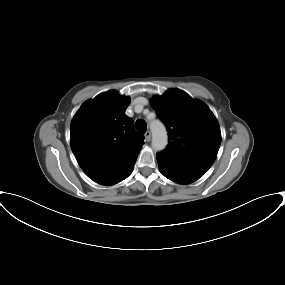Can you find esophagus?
<instances>
[{"instance_id":"esophagus-1","label":"esophagus","mask_w":285,"mask_h":285,"mask_svg":"<svg viewBox=\"0 0 285 285\" xmlns=\"http://www.w3.org/2000/svg\"><path fill=\"white\" fill-rule=\"evenodd\" d=\"M145 140L147 142L151 140V132L149 130L145 132Z\"/></svg>"}]
</instances>
